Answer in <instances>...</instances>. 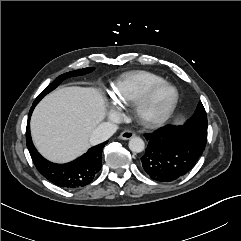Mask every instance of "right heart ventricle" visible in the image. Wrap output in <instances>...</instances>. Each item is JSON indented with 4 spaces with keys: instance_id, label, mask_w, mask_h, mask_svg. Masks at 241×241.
Wrapping results in <instances>:
<instances>
[{
    "instance_id": "e07e8e85",
    "label": "right heart ventricle",
    "mask_w": 241,
    "mask_h": 241,
    "mask_svg": "<svg viewBox=\"0 0 241 241\" xmlns=\"http://www.w3.org/2000/svg\"><path fill=\"white\" fill-rule=\"evenodd\" d=\"M162 81L161 76L149 71H131L115 82L111 97L117 104L133 105L149 88Z\"/></svg>"
}]
</instances>
